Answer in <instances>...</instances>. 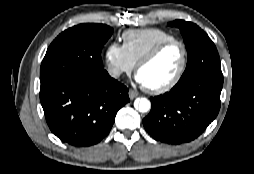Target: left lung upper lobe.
Listing matches in <instances>:
<instances>
[{"label":"left lung upper lobe","instance_id":"5c2ea615","mask_svg":"<svg viewBox=\"0 0 254 174\" xmlns=\"http://www.w3.org/2000/svg\"><path fill=\"white\" fill-rule=\"evenodd\" d=\"M168 25L180 29L188 54L187 66L179 84L206 75L223 76L217 49L202 29L184 20H175Z\"/></svg>","mask_w":254,"mask_h":174}]
</instances>
